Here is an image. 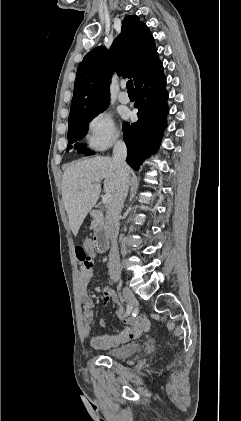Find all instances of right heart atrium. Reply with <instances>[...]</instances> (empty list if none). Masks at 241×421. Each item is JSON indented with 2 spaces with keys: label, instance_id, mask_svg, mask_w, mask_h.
I'll use <instances>...</instances> for the list:
<instances>
[{
  "label": "right heart atrium",
  "instance_id": "d8ad5b80",
  "mask_svg": "<svg viewBox=\"0 0 241 421\" xmlns=\"http://www.w3.org/2000/svg\"><path fill=\"white\" fill-rule=\"evenodd\" d=\"M120 138V132L111 114L102 111L94 115L87 125L86 139L94 151H103Z\"/></svg>",
  "mask_w": 241,
  "mask_h": 421
}]
</instances>
